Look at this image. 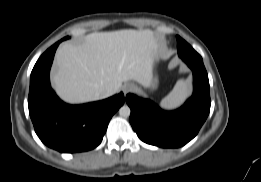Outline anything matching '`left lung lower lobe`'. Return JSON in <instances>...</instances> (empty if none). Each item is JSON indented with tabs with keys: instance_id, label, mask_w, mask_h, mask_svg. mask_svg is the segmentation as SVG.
<instances>
[{
	"instance_id": "obj_1",
	"label": "left lung lower lobe",
	"mask_w": 261,
	"mask_h": 182,
	"mask_svg": "<svg viewBox=\"0 0 261 182\" xmlns=\"http://www.w3.org/2000/svg\"><path fill=\"white\" fill-rule=\"evenodd\" d=\"M193 72V95L175 111H164L150 100L126 96L131 108L130 123L145 143L178 148L199 132L210 112L209 80L202 57H181Z\"/></svg>"
}]
</instances>
